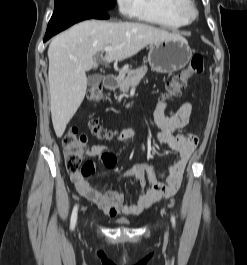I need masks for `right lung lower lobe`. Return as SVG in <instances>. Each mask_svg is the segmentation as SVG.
I'll return each mask as SVG.
<instances>
[{"label": "right lung lower lobe", "mask_w": 247, "mask_h": 265, "mask_svg": "<svg viewBox=\"0 0 247 265\" xmlns=\"http://www.w3.org/2000/svg\"><path fill=\"white\" fill-rule=\"evenodd\" d=\"M108 19L106 11L100 9H73L54 13L49 21L44 42L71 25L86 19Z\"/></svg>", "instance_id": "obj_1"}]
</instances>
